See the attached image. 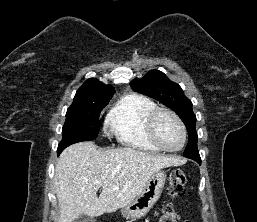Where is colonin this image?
<instances>
[{
    "label": "colon",
    "instance_id": "1",
    "mask_svg": "<svg viewBox=\"0 0 257 222\" xmlns=\"http://www.w3.org/2000/svg\"><path fill=\"white\" fill-rule=\"evenodd\" d=\"M186 173L183 169L177 168L171 171L167 186V195L170 200L164 207L157 222H180L179 215L174 208V201L185 194Z\"/></svg>",
    "mask_w": 257,
    "mask_h": 222
}]
</instances>
